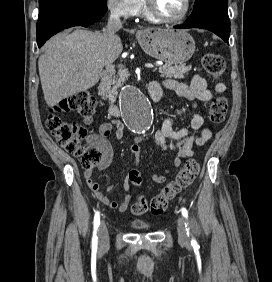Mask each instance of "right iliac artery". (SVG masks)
<instances>
[{"label": "right iliac artery", "mask_w": 272, "mask_h": 282, "mask_svg": "<svg viewBox=\"0 0 272 282\" xmlns=\"http://www.w3.org/2000/svg\"><path fill=\"white\" fill-rule=\"evenodd\" d=\"M100 224V214L99 212L95 213L94 216V231H93V237H92V248H97L98 246V236H97V230Z\"/></svg>", "instance_id": "right-iliac-artery-1"}]
</instances>
